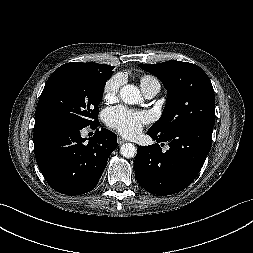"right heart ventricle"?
<instances>
[{"label": "right heart ventricle", "instance_id": "e07e8e85", "mask_svg": "<svg viewBox=\"0 0 253 253\" xmlns=\"http://www.w3.org/2000/svg\"><path fill=\"white\" fill-rule=\"evenodd\" d=\"M139 83L142 91L152 86H160L158 79L150 74L140 76Z\"/></svg>", "mask_w": 253, "mask_h": 253}]
</instances>
